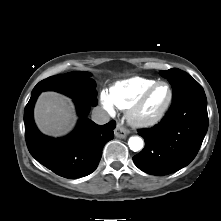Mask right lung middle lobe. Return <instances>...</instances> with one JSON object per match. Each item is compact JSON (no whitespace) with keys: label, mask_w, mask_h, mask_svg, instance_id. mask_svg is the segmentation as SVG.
I'll list each match as a JSON object with an SVG mask.
<instances>
[{"label":"right lung middle lobe","mask_w":221,"mask_h":221,"mask_svg":"<svg viewBox=\"0 0 221 221\" xmlns=\"http://www.w3.org/2000/svg\"><path fill=\"white\" fill-rule=\"evenodd\" d=\"M88 72H69L48 77L39 82L33 92L53 90L61 92L76 101L87 102L92 105L97 104V94L95 81L90 78Z\"/></svg>","instance_id":"dd1d6c3e"}]
</instances>
